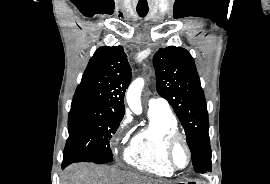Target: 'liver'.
Here are the masks:
<instances>
[{
	"label": "liver",
	"mask_w": 270,
	"mask_h": 184,
	"mask_svg": "<svg viewBox=\"0 0 270 184\" xmlns=\"http://www.w3.org/2000/svg\"><path fill=\"white\" fill-rule=\"evenodd\" d=\"M61 184H169L166 181L124 172L112 166L75 163L62 174Z\"/></svg>",
	"instance_id": "obj_1"
}]
</instances>
